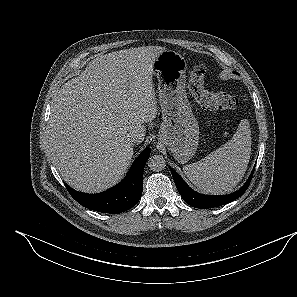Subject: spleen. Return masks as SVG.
<instances>
[{"label": "spleen", "instance_id": "1", "mask_svg": "<svg viewBox=\"0 0 297 297\" xmlns=\"http://www.w3.org/2000/svg\"><path fill=\"white\" fill-rule=\"evenodd\" d=\"M251 144L250 124L243 119L231 140L200 161L184 166L183 171L205 193H229L247 170Z\"/></svg>", "mask_w": 297, "mask_h": 297}]
</instances>
